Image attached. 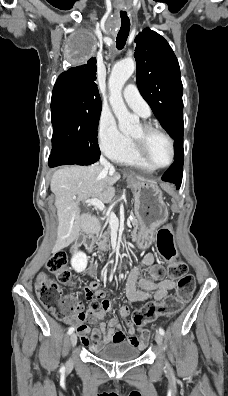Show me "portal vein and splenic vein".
<instances>
[{
    "label": "portal vein and splenic vein",
    "mask_w": 228,
    "mask_h": 396,
    "mask_svg": "<svg viewBox=\"0 0 228 396\" xmlns=\"http://www.w3.org/2000/svg\"><path fill=\"white\" fill-rule=\"evenodd\" d=\"M84 203L88 204L89 206H94V207L98 208L99 210L103 211V213L106 212L103 202L98 200V199H96V198L88 199ZM106 214L108 216L109 224L111 226L118 227V225H119L118 218L112 212H107ZM127 224L129 225L130 222L127 221Z\"/></svg>",
    "instance_id": "1"
}]
</instances>
